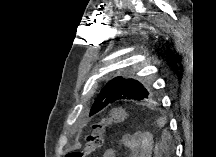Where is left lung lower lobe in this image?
Listing matches in <instances>:
<instances>
[{
  "label": "left lung lower lobe",
  "instance_id": "obj_1",
  "mask_svg": "<svg viewBox=\"0 0 216 157\" xmlns=\"http://www.w3.org/2000/svg\"><path fill=\"white\" fill-rule=\"evenodd\" d=\"M92 107H94L95 108V110L92 112V113H90V115H94L95 113H97V112H99L100 110H102L104 107H106L105 106V104L103 105V104H98V103H95L94 102V104H93V106Z\"/></svg>",
  "mask_w": 216,
  "mask_h": 157
}]
</instances>
